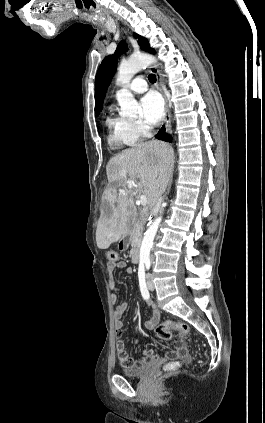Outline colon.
I'll return each mask as SVG.
<instances>
[{"mask_svg": "<svg viewBox=\"0 0 265 423\" xmlns=\"http://www.w3.org/2000/svg\"><path fill=\"white\" fill-rule=\"evenodd\" d=\"M108 262L115 263L118 260V253L115 250H108L106 253ZM172 330H175L180 336H186L189 333V327L186 323L175 322L172 320H165L156 327V332L159 338L169 340L172 337ZM182 355H186L185 350ZM177 367L176 362H169L164 366L165 372L175 370Z\"/></svg>", "mask_w": 265, "mask_h": 423, "instance_id": "colon-1", "label": "colon"}]
</instances>
